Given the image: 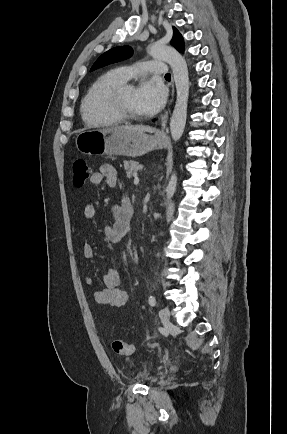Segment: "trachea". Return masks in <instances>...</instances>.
<instances>
[{
	"mask_svg": "<svg viewBox=\"0 0 287 434\" xmlns=\"http://www.w3.org/2000/svg\"><path fill=\"white\" fill-rule=\"evenodd\" d=\"M170 77L171 75L169 73L165 75V78H170Z\"/></svg>",
	"mask_w": 287,
	"mask_h": 434,
	"instance_id": "3493384b",
	"label": "trachea"
}]
</instances>
